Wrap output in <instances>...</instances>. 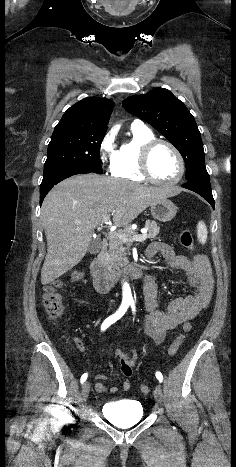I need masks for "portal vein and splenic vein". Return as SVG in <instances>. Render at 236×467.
Instances as JSON below:
<instances>
[{
    "label": "portal vein and splenic vein",
    "instance_id": "portal-vein-and-splenic-vein-1",
    "mask_svg": "<svg viewBox=\"0 0 236 467\" xmlns=\"http://www.w3.org/2000/svg\"><path fill=\"white\" fill-rule=\"evenodd\" d=\"M109 219H110V216H104L102 218V223H107ZM141 233L142 234H139V235L137 234V235H133V236H129V235L123 234V233H116V232H114L112 234L116 235L119 239H121V240H123L125 242H134V241L140 242V241H144L147 238L145 230H141Z\"/></svg>",
    "mask_w": 236,
    "mask_h": 467
}]
</instances>
